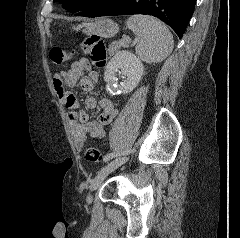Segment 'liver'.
Instances as JSON below:
<instances>
[{
	"label": "liver",
	"instance_id": "obj_1",
	"mask_svg": "<svg viewBox=\"0 0 240 238\" xmlns=\"http://www.w3.org/2000/svg\"><path fill=\"white\" fill-rule=\"evenodd\" d=\"M79 28H81V26H78V27H74V29H75V30H77V29H79Z\"/></svg>",
	"mask_w": 240,
	"mask_h": 238
}]
</instances>
